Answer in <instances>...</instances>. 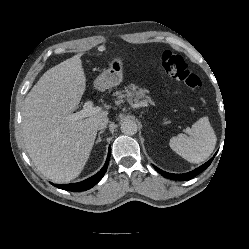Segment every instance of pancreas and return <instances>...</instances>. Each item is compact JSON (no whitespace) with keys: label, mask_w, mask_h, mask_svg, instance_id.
Segmentation results:
<instances>
[{"label":"pancreas","mask_w":249,"mask_h":249,"mask_svg":"<svg viewBox=\"0 0 249 249\" xmlns=\"http://www.w3.org/2000/svg\"><path fill=\"white\" fill-rule=\"evenodd\" d=\"M147 90L138 88L134 84H130L125 87L124 90L116 91L113 95L116 96L118 102H128L129 104H139L145 106L151 104L152 100L150 96L146 95Z\"/></svg>","instance_id":"1"}]
</instances>
